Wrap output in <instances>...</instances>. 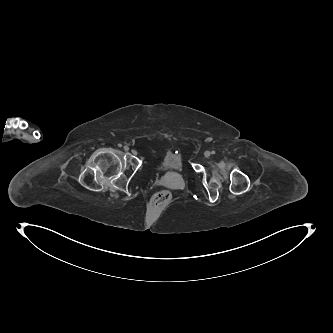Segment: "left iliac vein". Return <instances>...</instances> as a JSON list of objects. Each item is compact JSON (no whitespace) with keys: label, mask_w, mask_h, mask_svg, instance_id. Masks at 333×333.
<instances>
[{"label":"left iliac vein","mask_w":333,"mask_h":333,"mask_svg":"<svg viewBox=\"0 0 333 333\" xmlns=\"http://www.w3.org/2000/svg\"><path fill=\"white\" fill-rule=\"evenodd\" d=\"M204 156H205V157H209V156H210V152H209V151H206V152L204 153Z\"/></svg>","instance_id":"left-iliac-vein-1"}]
</instances>
